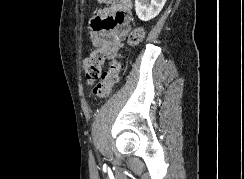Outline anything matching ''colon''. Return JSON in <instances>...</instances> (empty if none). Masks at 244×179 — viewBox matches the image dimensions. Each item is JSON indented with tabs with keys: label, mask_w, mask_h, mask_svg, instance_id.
<instances>
[{
	"label": "colon",
	"mask_w": 244,
	"mask_h": 179,
	"mask_svg": "<svg viewBox=\"0 0 244 179\" xmlns=\"http://www.w3.org/2000/svg\"><path fill=\"white\" fill-rule=\"evenodd\" d=\"M100 3H110V0H99ZM145 29L137 26L132 29L128 38V46H136L141 43ZM105 54L101 47L94 50L83 62L86 81L94 85L101 76V68L104 64ZM123 68V60L119 59L101 76V81L93 86V95L97 98H107L120 81Z\"/></svg>",
	"instance_id": "5ec220e1"
}]
</instances>
